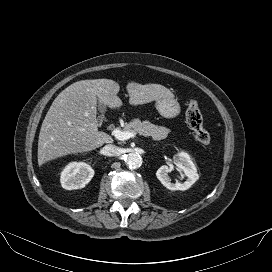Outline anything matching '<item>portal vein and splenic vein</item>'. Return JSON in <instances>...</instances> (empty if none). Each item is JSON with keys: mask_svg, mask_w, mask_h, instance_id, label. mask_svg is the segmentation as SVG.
Masks as SVG:
<instances>
[{"mask_svg": "<svg viewBox=\"0 0 272 272\" xmlns=\"http://www.w3.org/2000/svg\"><path fill=\"white\" fill-rule=\"evenodd\" d=\"M112 135L116 139L121 140V141L128 140L130 138L136 137V133L128 132V131H122V130H120L118 128L113 129Z\"/></svg>", "mask_w": 272, "mask_h": 272, "instance_id": "1", "label": "portal vein and splenic vein"}]
</instances>
